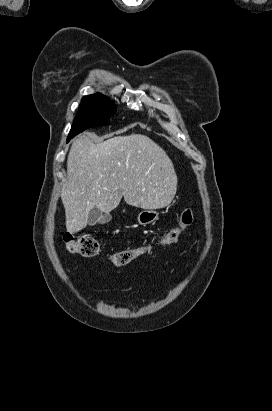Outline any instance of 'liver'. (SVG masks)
I'll list each match as a JSON object with an SVG mask.
<instances>
[{
	"label": "liver",
	"mask_w": 272,
	"mask_h": 411,
	"mask_svg": "<svg viewBox=\"0 0 272 411\" xmlns=\"http://www.w3.org/2000/svg\"><path fill=\"white\" fill-rule=\"evenodd\" d=\"M177 176L166 152L146 135L116 136L94 143L76 138L67 158V181L61 192L66 229L76 233L88 223L91 209L110 213L122 197L144 210L168 206Z\"/></svg>",
	"instance_id": "1"
}]
</instances>
